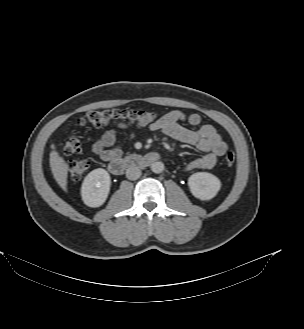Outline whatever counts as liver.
Instances as JSON below:
<instances>
[{
    "label": "liver",
    "instance_id": "obj_1",
    "mask_svg": "<svg viewBox=\"0 0 304 329\" xmlns=\"http://www.w3.org/2000/svg\"><path fill=\"white\" fill-rule=\"evenodd\" d=\"M52 151L50 152L49 163L54 179L58 185L67 191V176H68V165L64 158L59 155L56 151V145L51 144Z\"/></svg>",
    "mask_w": 304,
    "mask_h": 329
}]
</instances>
